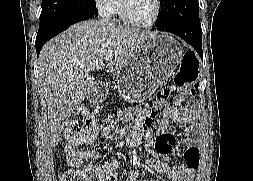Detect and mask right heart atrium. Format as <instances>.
<instances>
[{"instance_id":"right-heart-atrium-1","label":"right heart atrium","mask_w":253,"mask_h":181,"mask_svg":"<svg viewBox=\"0 0 253 181\" xmlns=\"http://www.w3.org/2000/svg\"><path fill=\"white\" fill-rule=\"evenodd\" d=\"M94 7L99 16L105 20H110L116 14L119 6L118 0H93Z\"/></svg>"}]
</instances>
